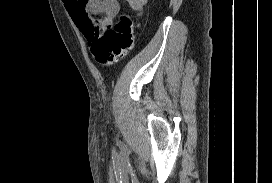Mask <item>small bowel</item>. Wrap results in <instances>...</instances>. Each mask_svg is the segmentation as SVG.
Returning a JSON list of instances; mask_svg holds the SVG:
<instances>
[{
    "label": "small bowel",
    "instance_id": "1",
    "mask_svg": "<svg viewBox=\"0 0 272 183\" xmlns=\"http://www.w3.org/2000/svg\"><path fill=\"white\" fill-rule=\"evenodd\" d=\"M132 9L143 14L147 0H126ZM72 20L87 40L102 34L119 12L118 0H64Z\"/></svg>",
    "mask_w": 272,
    "mask_h": 183
}]
</instances>
